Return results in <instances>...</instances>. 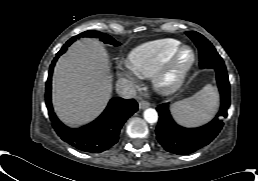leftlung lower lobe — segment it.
<instances>
[{"instance_id":"left-lung-lower-lobe-1","label":"left lung lower lobe","mask_w":258,"mask_h":181,"mask_svg":"<svg viewBox=\"0 0 258 181\" xmlns=\"http://www.w3.org/2000/svg\"><path fill=\"white\" fill-rule=\"evenodd\" d=\"M216 70V80L221 96V107L216 117L208 124L199 128H183L172 119L167 103L157 107L159 121L156 135L159 143L170 153L187 155L208 145L221 131L223 121L220 117L227 116L230 106V84L226 68Z\"/></svg>"}]
</instances>
